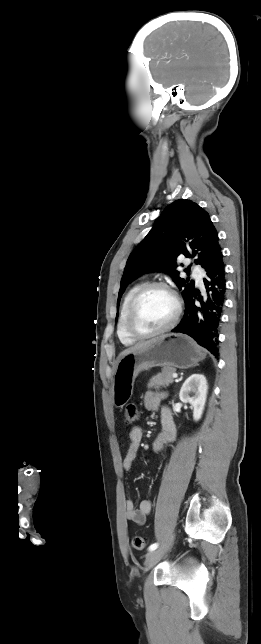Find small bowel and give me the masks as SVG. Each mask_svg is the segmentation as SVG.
Returning a JSON list of instances; mask_svg holds the SVG:
<instances>
[{"label":"small bowel","mask_w":261,"mask_h":644,"mask_svg":"<svg viewBox=\"0 0 261 644\" xmlns=\"http://www.w3.org/2000/svg\"><path fill=\"white\" fill-rule=\"evenodd\" d=\"M164 394L157 391H148L144 395V407L148 411H158L160 409L161 401ZM161 432L154 438L152 442V449L154 452H160L166 446L172 444L177 435V429L173 420L172 413L168 407L161 408ZM142 429L138 426L133 427L129 433V444L127 447L126 455L123 460V469L129 471L137 458L142 440ZM151 511V502L149 500H142L139 506L136 507L131 499L125 502V517L137 525H143L146 521L147 515Z\"/></svg>","instance_id":"1"}]
</instances>
